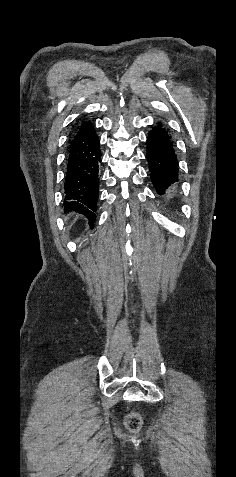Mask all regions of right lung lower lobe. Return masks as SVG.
Listing matches in <instances>:
<instances>
[{
  "mask_svg": "<svg viewBox=\"0 0 236 477\" xmlns=\"http://www.w3.org/2000/svg\"><path fill=\"white\" fill-rule=\"evenodd\" d=\"M100 143L90 121H83L73 131L68 149L64 206L87 216L90 224L96 218L98 201Z\"/></svg>",
  "mask_w": 236,
  "mask_h": 477,
  "instance_id": "obj_1",
  "label": "right lung lower lobe"
}]
</instances>
